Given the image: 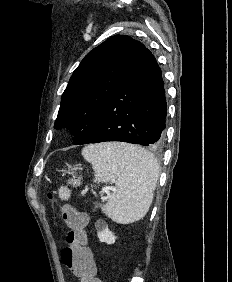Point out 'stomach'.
I'll return each mask as SVG.
<instances>
[{
	"mask_svg": "<svg viewBox=\"0 0 232 282\" xmlns=\"http://www.w3.org/2000/svg\"><path fill=\"white\" fill-rule=\"evenodd\" d=\"M80 169V166L79 165H76V166H71V165H68V170H65L67 173L69 174H74L76 170H79Z\"/></svg>",
	"mask_w": 232,
	"mask_h": 282,
	"instance_id": "0dacf381",
	"label": "stomach"
}]
</instances>
